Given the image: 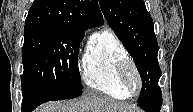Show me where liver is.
<instances>
[{
    "label": "liver",
    "mask_w": 193,
    "mask_h": 112,
    "mask_svg": "<svg viewBox=\"0 0 193 112\" xmlns=\"http://www.w3.org/2000/svg\"><path fill=\"white\" fill-rule=\"evenodd\" d=\"M131 105L109 97L90 96L66 103H45L35 112H132Z\"/></svg>",
    "instance_id": "obj_1"
}]
</instances>
